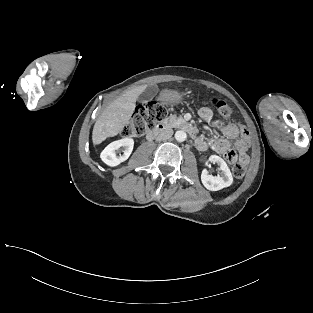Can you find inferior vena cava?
Segmentation results:
<instances>
[{
    "label": "inferior vena cava",
    "mask_w": 313,
    "mask_h": 313,
    "mask_svg": "<svg viewBox=\"0 0 313 313\" xmlns=\"http://www.w3.org/2000/svg\"><path fill=\"white\" fill-rule=\"evenodd\" d=\"M172 134H173L172 129H165L157 136L156 140L157 141L167 140L172 136Z\"/></svg>",
    "instance_id": "1"
}]
</instances>
